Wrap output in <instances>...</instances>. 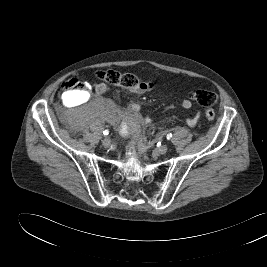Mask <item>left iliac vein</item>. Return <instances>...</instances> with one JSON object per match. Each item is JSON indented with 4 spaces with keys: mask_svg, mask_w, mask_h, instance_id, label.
<instances>
[{
    "mask_svg": "<svg viewBox=\"0 0 267 267\" xmlns=\"http://www.w3.org/2000/svg\"><path fill=\"white\" fill-rule=\"evenodd\" d=\"M156 151L158 154H165L168 151V146L163 144L159 146Z\"/></svg>",
    "mask_w": 267,
    "mask_h": 267,
    "instance_id": "1",
    "label": "left iliac vein"
}]
</instances>
